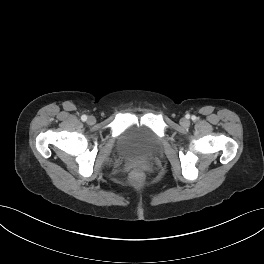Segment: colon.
Here are the masks:
<instances>
[{"instance_id":"1","label":"colon","mask_w":264,"mask_h":264,"mask_svg":"<svg viewBox=\"0 0 264 264\" xmlns=\"http://www.w3.org/2000/svg\"><path fill=\"white\" fill-rule=\"evenodd\" d=\"M131 178H132V180H136V181L141 180L142 179V172L138 169L133 170L131 173Z\"/></svg>"}]
</instances>
